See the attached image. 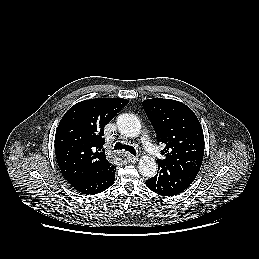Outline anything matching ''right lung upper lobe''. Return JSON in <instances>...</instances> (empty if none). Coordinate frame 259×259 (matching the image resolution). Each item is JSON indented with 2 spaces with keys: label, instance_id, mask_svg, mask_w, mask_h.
<instances>
[{
  "label": "right lung upper lobe",
  "instance_id": "1",
  "mask_svg": "<svg viewBox=\"0 0 259 259\" xmlns=\"http://www.w3.org/2000/svg\"><path fill=\"white\" fill-rule=\"evenodd\" d=\"M127 99L97 98L79 102L62 117L55 134V154L62 175L73 184L109 166L104 127L128 103Z\"/></svg>",
  "mask_w": 259,
  "mask_h": 259
}]
</instances>
